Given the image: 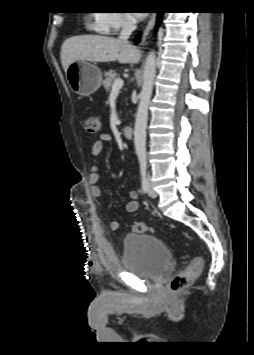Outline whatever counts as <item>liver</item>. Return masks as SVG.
Listing matches in <instances>:
<instances>
[{
	"instance_id": "obj_1",
	"label": "liver",
	"mask_w": 254,
	"mask_h": 355,
	"mask_svg": "<svg viewBox=\"0 0 254 355\" xmlns=\"http://www.w3.org/2000/svg\"><path fill=\"white\" fill-rule=\"evenodd\" d=\"M61 62L66 72L74 61L110 62L135 64L141 53L133 45L103 35H79L64 41L61 47Z\"/></svg>"
}]
</instances>
